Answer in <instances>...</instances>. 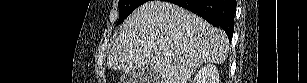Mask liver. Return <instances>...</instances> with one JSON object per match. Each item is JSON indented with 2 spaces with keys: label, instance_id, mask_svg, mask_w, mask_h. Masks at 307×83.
<instances>
[{
  "label": "liver",
  "instance_id": "liver-1",
  "mask_svg": "<svg viewBox=\"0 0 307 83\" xmlns=\"http://www.w3.org/2000/svg\"><path fill=\"white\" fill-rule=\"evenodd\" d=\"M229 51L225 32L175 4L149 1L124 21L107 64L129 73L153 67L158 83H188L203 63L222 64Z\"/></svg>",
  "mask_w": 307,
  "mask_h": 83
}]
</instances>
